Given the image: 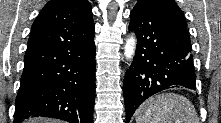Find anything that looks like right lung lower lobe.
<instances>
[{
  "label": "right lung lower lobe",
  "instance_id": "right-lung-lower-lobe-1",
  "mask_svg": "<svg viewBox=\"0 0 221 123\" xmlns=\"http://www.w3.org/2000/svg\"><path fill=\"white\" fill-rule=\"evenodd\" d=\"M94 101V32L69 44L26 51L15 123L36 116L92 123Z\"/></svg>",
  "mask_w": 221,
  "mask_h": 123
}]
</instances>
